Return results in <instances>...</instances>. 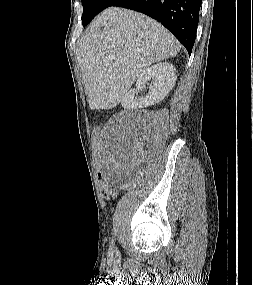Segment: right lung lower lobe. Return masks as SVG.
Masks as SVG:
<instances>
[{
  "label": "right lung lower lobe",
  "instance_id": "98d812e1",
  "mask_svg": "<svg viewBox=\"0 0 253 285\" xmlns=\"http://www.w3.org/2000/svg\"><path fill=\"white\" fill-rule=\"evenodd\" d=\"M201 3L202 0H115L110 6L132 9L159 21L175 35L190 55Z\"/></svg>",
  "mask_w": 253,
  "mask_h": 285
}]
</instances>
